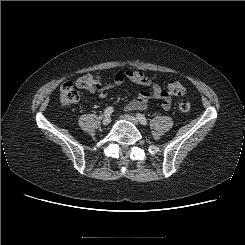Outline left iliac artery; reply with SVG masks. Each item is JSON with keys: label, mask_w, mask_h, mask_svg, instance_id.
I'll return each instance as SVG.
<instances>
[{"label": "left iliac artery", "mask_w": 245, "mask_h": 245, "mask_svg": "<svg viewBox=\"0 0 245 245\" xmlns=\"http://www.w3.org/2000/svg\"><path fill=\"white\" fill-rule=\"evenodd\" d=\"M136 117H137V119L140 121V123H141L142 125H147V124H148L147 119L145 118L144 115H142V114H140V113H137V114H136Z\"/></svg>", "instance_id": "44dca946"}]
</instances>
